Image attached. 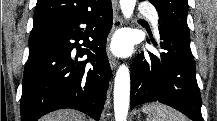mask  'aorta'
<instances>
[{
    "mask_svg": "<svg viewBox=\"0 0 217 121\" xmlns=\"http://www.w3.org/2000/svg\"><path fill=\"white\" fill-rule=\"evenodd\" d=\"M136 0H120L121 11L125 18H130L135 8ZM130 99V73L125 65L117 70L114 83V115L115 121H126Z\"/></svg>",
    "mask_w": 217,
    "mask_h": 121,
    "instance_id": "aorta-1",
    "label": "aorta"
}]
</instances>
